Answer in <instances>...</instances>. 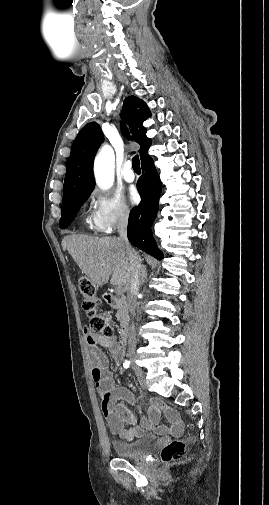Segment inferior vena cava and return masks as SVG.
<instances>
[{
  "mask_svg": "<svg viewBox=\"0 0 269 505\" xmlns=\"http://www.w3.org/2000/svg\"><path fill=\"white\" fill-rule=\"evenodd\" d=\"M127 225H128V215L121 214L118 219V233L119 240L125 249L129 264H130V279L128 284V306L129 312L134 319L136 316L135 310L137 307L136 295L139 291L140 279L142 277L143 266L141 265V259L138 253L131 247L127 238ZM136 348V338H135V324L134 321L131 322L128 332V350L133 351Z\"/></svg>",
  "mask_w": 269,
  "mask_h": 505,
  "instance_id": "1",
  "label": "inferior vena cava"
}]
</instances>
